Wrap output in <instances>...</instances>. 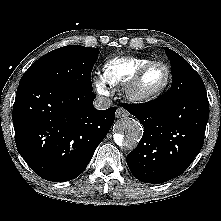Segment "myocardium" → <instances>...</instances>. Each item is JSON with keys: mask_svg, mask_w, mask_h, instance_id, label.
Masks as SVG:
<instances>
[{"mask_svg": "<svg viewBox=\"0 0 221 221\" xmlns=\"http://www.w3.org/2000/svg\"><path fill=\"white\" fill-rule=\"evenodd\" d=\"M163 66L166 70V79L164 83L157 89L152 91H145L141 88V81L144 75L154 66ZM171 69L161 61H152L141 67L133 78L126 84L124 92L127 99L134 103H146L159 98L169 87L171 82Z\"/></svg>", "mask_w": 221, "mask_h": 221, "instance_id": "f54148a6", "label": "myocardium"}]
</instances>
